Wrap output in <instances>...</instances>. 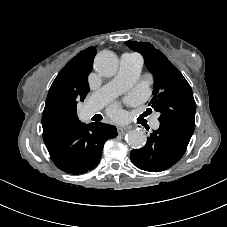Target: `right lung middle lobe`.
Listing matches in <instances>:
<instances>
[{"label": "right lung middle lobe", "instance_id": "1", "mask_svg": "<svg viewBox=\"0 0 227 227\" xmlns=\"http://www.w3.org/2000/svg\"><path fill=\"white\" fill-rule=\"evenodd\" d=\"M77 101L58 100L45 113L49 128L57 133H65L79 123L76 110Z\"/></svg>", "mask_w": 227, "mask_h": 227}]
</instances>
